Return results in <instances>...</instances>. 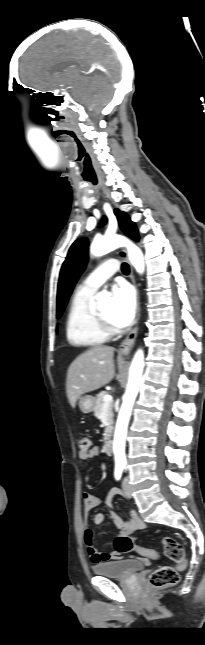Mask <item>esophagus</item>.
Masks as SVG:
<instances>
[{
    "instance_id": "34e87169",
    "label": "esophagus",
    "mask_w": 205,
    "mask_h": 645,
    "mask_svg": "<svg viewBox=\"0 0 205 645\" xmlns=\"http://www.w3.org/2000/svg\"><path fill=\"white\" fill-rule=\"evenodd\" d=\"M120 253L123 257H127V253L125 249H121ZM131 280L136 288V293H137V321L139 320L140 316V301H139V290L138 286L135 281L133 269L131 267V274H130ZM138 334V326L136 325L134 329L127 335V337L123 340V342L119 346V353L120 354H128L130 350L132 349L134 342L137 338Z\"/></svg>"
}]
</instances>
